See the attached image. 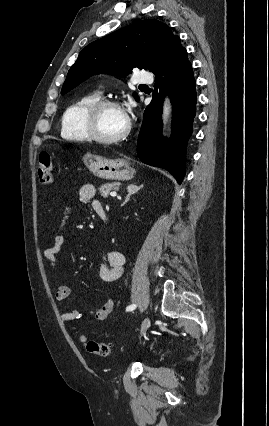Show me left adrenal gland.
<instances>
[{"label":"left adrenal gland","instance_id":"1","mask_svg":"<svg viewBox=\"0 0 269 426\" xmlns=\"http://www.w3.org/2000/svg\"><path fill=\"white\" fill-rule=\"evenodd\" d=\"M142 187H143V185L136 186L135 184H130L127 187L128 194H127L125 201L123 202L122 205H125L130 200L131 195L137 193Z\"/></svg>","mask_w":269,"mask_h":426}]
</instances>
